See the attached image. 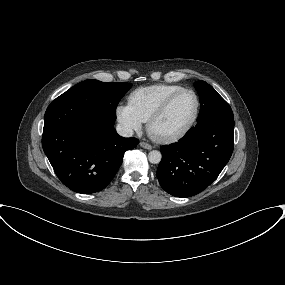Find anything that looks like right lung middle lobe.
<instances>
[{
	"mask_svg": "<svg viewBox=\"0 0 285 285\" xmlns=\"http://www.w3.org/2000/svg\"><path fill=\"white\" fill-rule=\"evenodd\" d=\"M131 87V83H105L98 80H85L56 99L77 103L96 111L100 115L116 119L117 104Z\"/></svg>",
	"mask_w": 285,
	"mask_h": 285,
	"instance_id": "obj_1",
	"label": "right lung middle lobe"
}]
</instances>
